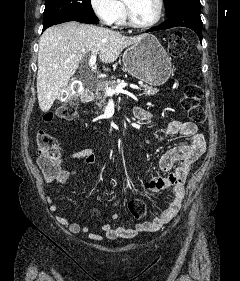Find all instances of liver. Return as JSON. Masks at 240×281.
Instances as JSON below:
<instances>
[{
  "label": "liver",
  "instance_id": "1",
  "mask_svg": "<svg viewBox=\"0 0 240 281\" xmlns=\"http://www.w3.org/2000/svg\"><path fill=\"white\" fill-rule=\"evenodd\" d=\"M145 36H125L78 22L48 28L40 38L38 52L37 97L41 111L47 112L52 107L86 56L99 54L104 65L113 63L123 49ZM104 69L109 70L105 66Z\"/></svg>",
  "mask_w": 240,
  "mask_h": 281
}]
</instances>
